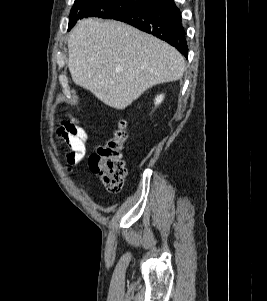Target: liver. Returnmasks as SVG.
<instances>
[{
  "label": "liver",
  "instance_id": "obj_1",
  "mask_svg": "<svg viewBox=\"0 0 267 301\" xmlns=\"http://www.w3.org/2000/svg\"><path fill=\"white\" fill-rule=\"evenodd\" d=\"M68 49L76 85L119 110L152 86L177 81L185 72L184 57L174 47L118 21H78Z\"/></svg>",
  "mask_w": 267,
  "mask_h": 301
}]
</instances>
